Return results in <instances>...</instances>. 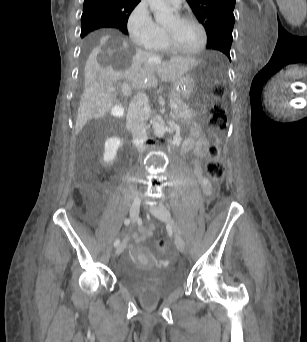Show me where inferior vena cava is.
Here are the masks:
<instances>
[{
  "mask_svg": "<svg viewBox=\"0 0 307 342\" xmlns=\"http://www.w3.org/2000/svg\"><path fill=\"white\" fill-rule=\"evenodd\" d=\"M148 104V98L144 92H137L132 98L126 118V128L130 130L134 144L138 152H145L146 146L144 142L147 140L145 130V120L147 118L145 106Z\"/></svg>",
  "mask_w": 307,
  "mask_h": 342,
  "instance_id": "602c4592",
  "label": "inferior vena cava"
}]
</instances>
